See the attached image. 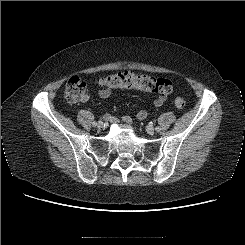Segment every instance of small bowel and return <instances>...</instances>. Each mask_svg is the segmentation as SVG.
<instances>
[{
    "mask_svg": "<svg viewBox=\"0 0 245 245\" xmlns=\"http://www.w3.org/2000/svg\"><path fill=\"white\" fill-rule=\"evenodd\" d=\"M110 94H111V91H107V90H104V89H100V90L98 91L99 97H100V98H103V99L108 98V97L110 96ZM88 99H89V96H88V95H85V97L83 98L82 101H83V102H86ZM165 100H166V96H165V95H160V96L154 101V105H155L156 107H160V106H162V105L164 104ZM147 116H148V112H147L146 110H140V111H138V113H137V118H138L139 120H144V119L147 118ZM107 118H109V117L107 116ZM122 120H123L124 122L128 123V124H132V118H131L130 116H128V115L123 116V117H122Z\"/></svg>",
    "mask_w": 245,
    "mask_h": 245,
    "instance_id": "small-bowel-1",
    "label": "small bowel"
}]
</instances>
